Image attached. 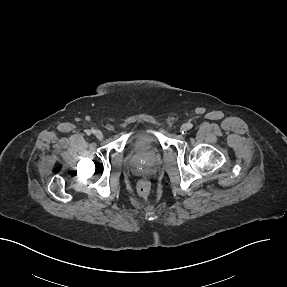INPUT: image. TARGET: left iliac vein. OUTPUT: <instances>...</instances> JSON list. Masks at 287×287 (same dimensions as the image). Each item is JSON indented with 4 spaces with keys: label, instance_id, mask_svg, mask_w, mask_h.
<instances>
[{
    "label": "left iliac vein",
    "instance_id": "1",
    "mask_svg": "<svg viewBox=\"0 0 287 287\" xmlns=\"http://www.w3.org/2000/svg\"><path fill=\"white\" fill-rule=\"evenodd\" d=\"M180 129L182 132H186L188 130L187 124H183Z\"/></svg>",
    "mask_w": 287,
    "mask_h": 287
}]
</instances>
